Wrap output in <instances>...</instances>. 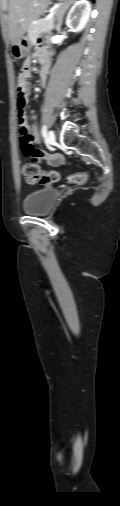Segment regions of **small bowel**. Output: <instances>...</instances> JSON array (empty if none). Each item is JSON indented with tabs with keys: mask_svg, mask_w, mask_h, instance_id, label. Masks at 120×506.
Segmentation results:
<instances>
[{
	"mask_svg": "<svg viewBox=\"0 0 120 506\" xmlns=\"http://www.w3.org/2000/svg\"><path fill=\"white\" fill-rule=\"evenodd\" d=\"M34 58L38 59L40 62V72H39V78H40V84L41 86H46L47 79H48V72L50 67V52L46 47L43 46L42 43H38L34 49L33 52ZM31 59L28 58L24 61L22 64L19 76H18V83H22L24 86V89L28 92L29 90V84L27 82V79L31 75ZM24 125L20 128V133H27L30 134L34 140L35 143H39V131L38 128L35 125H31L28 123L27 118L24 117ZM27 155V154H26ZM35 159H41L46 161L50 165H58L62 162V157L60 155H46L42 152H39L37 156H31L27 155Z\"/></svg>",
	"mask_w": 120,
	"mask_h": 506,
	"instance_id": "1",
	"label": "small bowel"
}]
</instances>
